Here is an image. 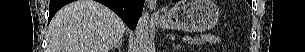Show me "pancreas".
Segmentation results:
<instances>
[{
    "instance_id": "cf45deb5",
    "label": "pancreas",
    "mask_w": 305,
    "mask_h": 52,
    "mask_svg": "<svg viewBox=\"0 0 305 52\" xmlns=\"http://www.w3.org/2000/svg\"><path fill=\"white\" fill-rule=\"evenodd\" d=\"M219 41H220L219 37H215V36H211V35H201V36L195 38L194 40H192V43L200 45V44H204V43L213 44V43H217Z\"/></svg>"
}]
</instances>
